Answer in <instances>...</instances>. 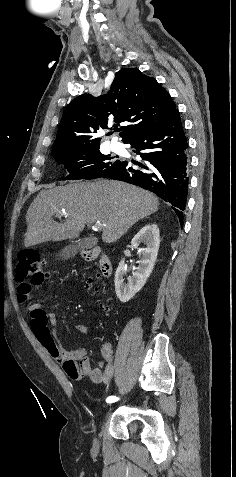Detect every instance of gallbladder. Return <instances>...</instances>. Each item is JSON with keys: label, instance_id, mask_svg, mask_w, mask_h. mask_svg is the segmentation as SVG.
Returning <instances> with one entry per match:
<instances>
[{"label": "gallbladder", "instance_id": "gallbladder-1", "mask_svg": "<svg viewBox=\"0 0 236 477\" xmlns=\"http://www.w3.org/2000/svg\"><path fill=\"white\" fill-rule=\"evenodd\" d=\"M96 240L91 237L84 238L82 240L71 242L61 252L60 256L63 258L73 257L81 249H89L96 245Z\"/></svg>", "mask_w": 236, "mask_h": 477}]
</instances>
